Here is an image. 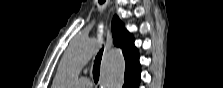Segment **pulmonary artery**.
<instances>
[{"label":"pulmonary artery","mask_w":223,"mask_h":88,"mask_svg":"<svg viewBox=\"0 0 223 88\" xmlns=\"http://www.w3.org/2000/svg\"><path fill=\"white\" fill-rule=\"evenodd\" d=\"M76 85L79 87V88H89L91 87V81L86 78V77H81L77 82H76Z\"/></svg>","instance_id":"obj_1"}]
</instances>
